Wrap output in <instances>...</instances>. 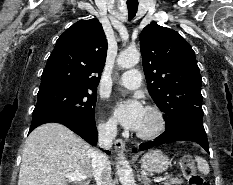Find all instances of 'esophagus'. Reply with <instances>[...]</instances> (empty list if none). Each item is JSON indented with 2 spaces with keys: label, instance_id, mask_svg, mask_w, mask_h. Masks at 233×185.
<instances>
[{
  "label": "esophagus",
  "instance_id": "34e87169",
  "mask_svg": "<svg viewBox=\"0 0 233 185\" xmlns=\"http://www.w3.org/2000/svg\"><path fill=\"white\" fill-rule=\"evenodd\" d=\"M114 146L117 150L126 151V145L122 139H116L114 141Z\"/></svg>",
  "mask_w": 233,
  "mask_h": 185
}]
</instances>
